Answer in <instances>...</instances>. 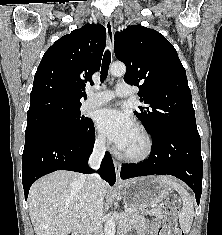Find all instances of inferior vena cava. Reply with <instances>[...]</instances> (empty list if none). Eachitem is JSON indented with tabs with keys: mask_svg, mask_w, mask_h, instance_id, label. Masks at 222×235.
Here are the masks:
<instances>
[{
	"mask_svg": "<svg viewBox=\"0 0 222 235\" xmlns=\"http://www.w3.org/2000/svg\"><path fill=\"white\" fill-rule=\"evenodd\" d=\"M105 150V139L97 140L88 162L91 168L97 170L100 167ZM85 190L86 204L82 216L84 235H103L101 219L104 194L101 190V178L98 174L87 176Z\"/></svg>",
	"mask_w": 222,
	"mask_h": 235,
	"instance_id": "1",
	"label": "inferior vena cava"
}]
</instances>
